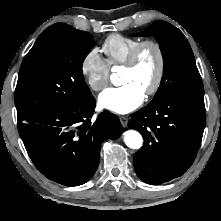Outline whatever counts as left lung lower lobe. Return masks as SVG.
I'll return each mask as SVG.
<instances>
[{
	"label": "left lung lower lobe",
	"instance_id": "obj_1",
	"mask_svg": "<svg viewBox=\"0 0 221 221\" xmlns=\"http://www.w3.org/2000/svg\"><path fill=\"white\" fill-rule=\"evenodd\" d=\"M131 118L128 126L144 138L133 159L138 177L158 185L183 175L201 144L206 122L204 99L163 95Z\"/></svg>",
	"mask_w": 221,
	"mask_h": 221
}]
</instances>
